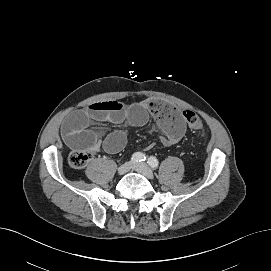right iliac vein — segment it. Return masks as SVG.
<instances>
[{
	"mask_svg": "<svg viewBox=\"0 0 271 271\" xmlns=\"http://www.w3.org/2000/svg\"><path fill=\"white\" fill-rule=\"evenodd\" d=\"M132 166H133V164L130 162H126V163L122 164L118 168V174L123 175V174L127 173L132 168Z\"/></svg>",
	"mask_w": 271,
	"mask_h": 271,
	"instance_id": "obj_1",
	"label": "right iliac vein"
}]
</instances>
